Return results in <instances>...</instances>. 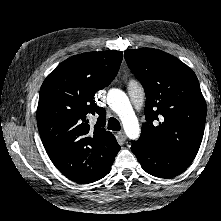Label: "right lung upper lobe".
Wrapping results in <instances>:
<instances>
[{"label": "right lung upper lobe", "instance_id": "right-lung-upper-lobe-1", "mask_svg": "<svg viewBox=\"0 0 221 221\" xmlns=\"http://www.w3.org/2000/svg\"><path fill=\"white\" fill-rule=\"evenodd\" d=\"M122 52H88L63 61L43 82L36 112L43 145L53 164L77 183L98 179L112 165L120 146L104 130L106 111L94 95L115 78ZM98 116L99 125L88 118Z\"/></svg>", "mask_w": 221, "mask_h": 221}]
</instances>
